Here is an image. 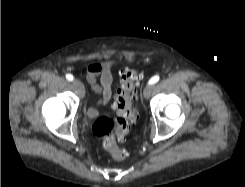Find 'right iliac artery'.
I'll return each instance as SVG.
<instances>
[{"label":"right iliac artery","instance_id":"1","mask_svg":"<svg viewBox=\"0 0 245 187\" xmlns=\"http://www.w3.org/2000/svg\"><path fill=\"white\" fill-rule=\"evenodd\" d=\"M66 79H67L68 81H72V80H73V76H72L71 74H67V75H66Z\"/></svg>","mask_w":245,"mask_h":187}]
</instances>
